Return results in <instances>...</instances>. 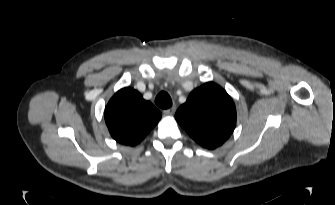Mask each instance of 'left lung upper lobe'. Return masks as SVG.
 Masks as SVG:
<instances>
[{
    "instance_id": "left-lung-upper-lobe-1",
    "label": "left lung upper lobe",
    "mask_w": 335,
    "mask_h": 205,
    "mask_svg": "<svg viewBox=\"0 0 335 205\" xmlns=\"http://www.w3.org/2000/svg\"><path fill=\"white\" fill-rule=\"evenodd\" d=\"M177 122L201 146L215 149L232 134L236 109L227 92L213 82L193 90L175 114Z\"/></svg>"
}]
</instances>
